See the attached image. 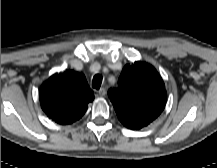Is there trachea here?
<instances>
[{
	"mask_svg": "<svg viewBox=\"0 0 217 168\" xmlns=\"http://www.w3.org/2000/svg\"><path fill=\"white\" fill-rule=\"evenodd\" d=\"M102 82V76L100 74H96L92 80V87L95 89H99Z\"/></svg>",
	"mask_w": 217,
	"mask_h": 168,
	"instance_id": "obj_1",
	"label": "trachea"
}]
</instances>
